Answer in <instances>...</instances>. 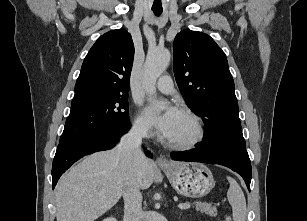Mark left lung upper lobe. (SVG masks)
Wrapping results in <instances>:
<instances>
[{"mask_svg":"<svg viewBox=\"0 0 307 221\" xmlns=\"http://www.w3.org/2000/svg\"><path fill=\"white\" fill-rule=\"evenodd\" d=\"M173 50L178 87L207 128L202 141L224 140L246 148L225 53L209 35L191 30L176 35Z\"/></svg>","mask_w":307,"mask_h":221,"instance_id":"left-lung-upper-lobe-1","label":"left lung upper lobe"}]
</instances>
